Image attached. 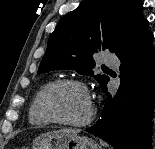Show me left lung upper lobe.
Returning <instances> with one entry per match:
<instances>
[{"instance_id":"obj_1","label":"left lung upper lobe","mask_w":155,"mask_h":149,"mask_svg":"<svg viewBox=\"0 0 155 149\" xmlns=\"http://www.w3.org/2000/svg\"><path fill=\"white\" fill-rule=\"evenodd\" d=\"M142 6L140 0H84L51 33L37 74L74 69L104 86L109 77L94 75L93 55L101 49L116 52L125 45L146 20Z\"/></svg>"}]
</instances>
